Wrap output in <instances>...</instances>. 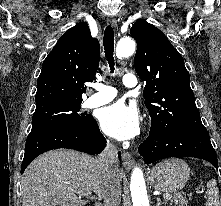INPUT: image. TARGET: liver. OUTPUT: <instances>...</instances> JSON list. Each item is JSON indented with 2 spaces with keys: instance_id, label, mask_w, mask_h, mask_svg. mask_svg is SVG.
Returning a JSON list of instances; mask_svg holds the SVG:
<instances>
[{
  "instance_id": "liver-1",
  "label": "liver",
  "mask_w": 221,
  "mask_h": 206,
  "mask_svg": "<svg viewBox=\"0 0 221 206\" xmlns=\"http://www.w3.org/2000/svg\"><path fill=\"white\" fill-rule=\"evenodd\" d=\"M123 177L119 170L117 179L121 182ZM108 181L98 158L66 149L49 151L23 174L22 206H85L81 196L93 192L97 200L102 199Z\"/></svg>"
}]
</instances>
